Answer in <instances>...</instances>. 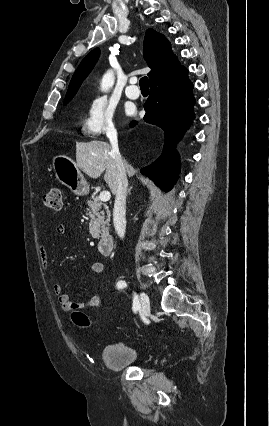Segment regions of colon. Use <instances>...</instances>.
<instances>
[{
	"label": "colon",
	"mask_w": 269,
	"mask_h": 426,
	"mask_svg": "<svg viewBox=\"0 0 269 426\" xmlns=\"http://www.w3.org/2000/svg\"><path fill=\"white\" fill-rule=\"evenodd\" d=\"M44 203L50 209L59 210L61 208V189L59 187L51 188L45 194ZM71 317L74 324L81 329L90 325L89 317L80 310H74Z\"/></svg>",
	"instance_id": "5ec220e1"
}]
</instances>
